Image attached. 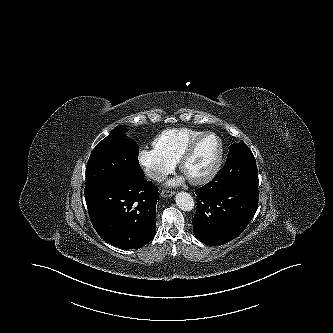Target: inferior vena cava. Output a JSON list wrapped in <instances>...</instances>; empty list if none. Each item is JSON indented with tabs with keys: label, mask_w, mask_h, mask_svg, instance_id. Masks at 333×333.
Masks as SVG:
<instances>
[{
	"label": "inferior vena cava",
	"mask_w": 333,
	"mask_h": 333,
	"mask_svg": "<svg viewBox=\"0 0 333 333\" xmlns=\"http://www.w3.org/2000/svg\"><path fill=\"white\" fill-rule=\"evenodd\" d=\"M147 175L155 181H163L166 178V174L159 170H149Z\"/></svg>",
	"instance_id": "602c4592"
}]
</instances>
